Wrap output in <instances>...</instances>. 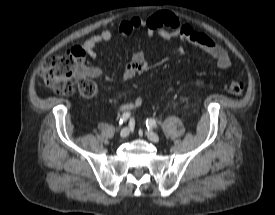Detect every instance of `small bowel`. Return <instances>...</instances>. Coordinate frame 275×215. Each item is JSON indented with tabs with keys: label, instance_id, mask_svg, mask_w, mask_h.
I'll return each mask as SVG.
<instances>
[{
	"label": "small bowel",
	"instance_id": "1",
	"mask_svg": "<svg viewBox=\"0 0 275 215\" xmlns=\"http://www.w3.org/2000/svg\"><path fill=\"white\" fill-rule=\"evenodd\" d=\"M145 30L150 36L160 34L165 38L177 36L181 40L198 45L206 50L216 61L221 69H228L231 66V59L225 49L214 39L205 33L197 30L189 23H181L172 13L159 12L147 18L133 17L123 19L118 24V32L122 36H128L134 31ZM113 38V33L109 29L90 37L83 43V48L91 58H96V47ZM151 68L150 62L143 52H137L133 55L120 75L121 80H129L140 76ZM93 77L113 80L114 77L105 73L101 68L93 67L87 71ZM142 105L141 98H135L132 101L123 103L119 106L120 112L130 111L139 108Z\"/></svg>",
	"mask_w": 275,
	"mask_h": 215
}]
</instances>
